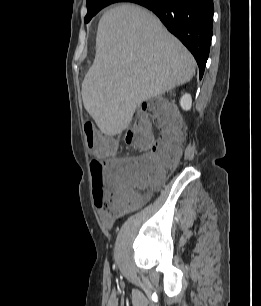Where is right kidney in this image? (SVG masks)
<instances>
[{
	"label": "right kidney",
	"instance_id": "obj_1",
	"mask_svg": "<svg viewBox=\"0 0 261 306\" xmlns=\"http://www.w3.org/2000/svg\"><path fill=\"white\" fill-rule=\"evenodd\" d=\"M180 105L183 110H190L192 106V98L190 94L185 93L180 99Z\"/></svg>",
	"mask_w": 261,
	"mask_h": 306
}]
</instances>
